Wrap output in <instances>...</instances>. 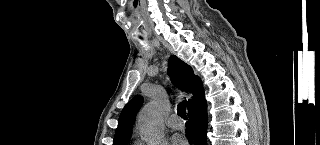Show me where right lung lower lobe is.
<instances>
[{"mask_svg": "<svg viewBox=\"0 0 320 145\" xmlns=\"http://www.w3.org/2000/svg\"><path fill=\"white\" fill-rule=\"evenodd\" d=\"M189 121L186 123V135L189 143L194 138L197 139V145H207V105L204 94L200 99L188 109Z\"/></svg>", "mask_w": 320, "mask_h": 145, "instance_id": "obj_1", "label": "right lung lower lobe"}]
</instances>
